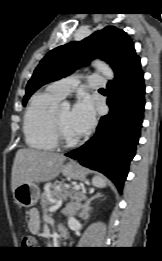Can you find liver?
Wrapping results in <instances>:
<instances>
[{"instance_id": "6515ba94", "label": "liver", "mask_w": 162, "mask_h": 261, "mask_svg": "<svg viewBox=\"0 0 162 261\" xmlns=\"http://www.w3.org/2000/svg\"><path fill=\"white\" fill-rule=\"evenodd\" d=\"M65 160L66 157L62 154L27 148L19 149L12 167V192L23 183L53 180L59 175Z\"/></svg>"}]
</instances>
